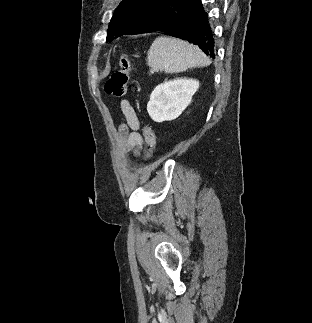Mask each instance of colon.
I'll return each mask as SVG.
<instances>
[{
    "label": "colon",
    "mask_w": 312,
    "mask_h": 323,
    "mask_svg": "<svg viewBox=\"0 0 312 323\" xmlns=\"http://www.w3.org/2000/svg\"><path fill=\"white\" fill-rule=\"evenodd\" d=\"M131 70V60L128 55L122 54L118 60V68L112 73L107 81L105 90L115 98L125 95L128 88V76ZM142 135L146 144L145 158L150 159L153 148L156 144V136L151 126L145 125L142 129Z\"/></svg>",
    "instance_id": "colon-1"
}]
</instances>
